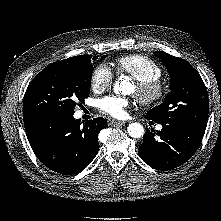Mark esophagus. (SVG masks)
<instances>
[{
    "label": "esophagus",
    "instance_id": "obj_1",
    "mask_svg": "<svg viewBox=\"0 0 221 221\" xmlns=\"http://www.w3.org/2000/svg\"><path fill=\"white\" fill-rule=\"evenodd\" d=\"M125 121L110 120L111 125H124Z\"/></svg>",
    "mask_w": 221,
    "mask_h": 221
}]
</instances>
